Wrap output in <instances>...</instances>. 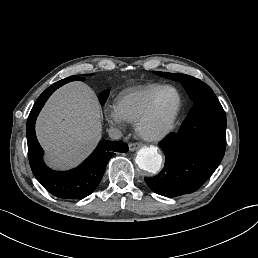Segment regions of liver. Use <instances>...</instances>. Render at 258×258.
<instances>
[{
  "mask_svg": "<svg viewBox=\"0 0 258 258\" xmlns=\"http://www.w3.org/2000/svg\"><path fill=\"white\" fill-rule=\"evenodd\" d=\"M101 108L92 88L71 81L55 90L35 122L45 165L57 171L80 165L102 138Z\"/></svg>",
  "mask_w": 258,
  "mask_h": 258,
  "instance_id": "obj_1",
  "label": "liver"
}]
</instances>
